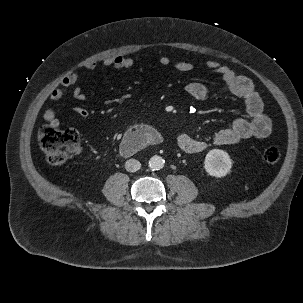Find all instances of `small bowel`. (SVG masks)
Listing matches in <instances>:
<instances>
[{
	"mask_svg": "<svg viewBox=\"0 0 303 303\" xmlns=\"http://www.w3.org/2000/svg\"><path fill=\"white\" fill-rule=\"evenodd\" d=\"M158 62L164 67H172L174 73L187 72L193 68L191 62L185 60L174 61L167 55L160 56ZM103 65L116 69H129L133 67L134 60L131 57L119 55L106 58ZM205 66L221 76L222 85L218 88H212L202 82H191L185 86V92L196 100H205L219 94L233 95L244 101L247 116L235 119L227 128L215 133L211 141L202 140L187 133H180L176 138L178 147L186 153H198L205 150L210 144H237L249 138H266L269 136L272 131V123L265 114L264 103L252 80L237 75L232 69L215 60L207 61ZM85 68L93 71L96 68V63H88ZM78 80V72H69L61 79L59 85L51 90L49 98L53 101L60 100L72 88L75 99L85 100V93L81 87L77 86ZM73 111L83 119L89 116L88 110L81 106H75ZM43 117L53 127L60 125V120L53 108L46 109Z\"/></svg>",
	"mask_w": 303,
	"mask_h": 303,
	"instance_id": "1",
	"label": "small bowel"
}]
</instances>
